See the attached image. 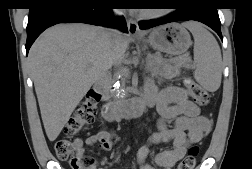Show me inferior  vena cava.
Listing matches in <instances>:
<instances>
[{"instance_id":"1","label":"inferior vena cava","mask_w":252,"mask_h":169,"mask_svg":"<svg viewBox=\"0 0 252 169\" xmlns=\"http://www.w3.org/2000/svg\"><path fill=\"white\" fill-rule=\"evenodd\" d=\"M113 13L115 16H120L123 14V11L122 9H113ZM108 36L114 46L119 47L121 45L122 34L118 30H114V29L109 30Z\"/></svg>"}]
</instances>
